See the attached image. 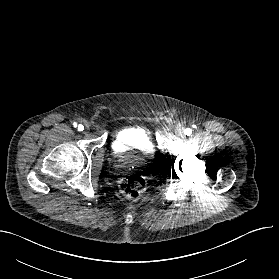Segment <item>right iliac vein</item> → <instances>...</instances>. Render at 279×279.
<instances>
[{"label":"right iliac vein","instance_id":"obj_1","mask_svg":"<svg viewBox=\"0 0 279 279\" xmlns=\"http://www.w3.org/2000/svg\"><path fill=\"white\" fill-rule=\"evenodd\" d=\"M89 126L86 124V128H88Z\"/></svg>","mask_w":279,"mask_h":279}]
</instances>
